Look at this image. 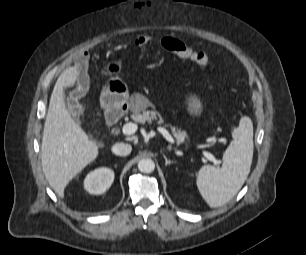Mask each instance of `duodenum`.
I'll list each match as a JSON object with an SVG mask.
<instances>
[{
	"label": "duodenum",
	"instance_id": "obj_1",
	"mask_svg": "<svg viewBox=\"0 0 306 255\" xmlns=\"http://www.w3.org/2000/svg\"><path fill=\"white\" fill-rule=\"evenodd\" d=\"M123 113H124V109L123 108L109 109L106 112L107 122L110 125H115L119 121V119L122 117Z\"/></svg>",
	"mask_w": 306,
	"mask_h": 255
}]
</instances>
